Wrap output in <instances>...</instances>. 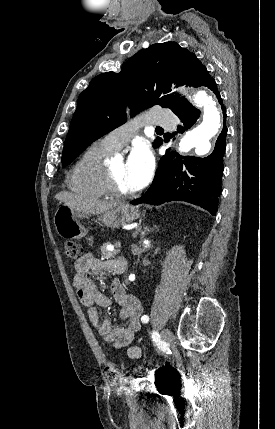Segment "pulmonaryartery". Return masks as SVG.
Wrapping results in <instances>:
<instances>
[{
  "mask_svg": "<svg viewBox=\"0 0 275 429\" xmlns=\"http://www.w3.org/2000/svg\"><path fill=\"white\" fill-rule=\"evenodd\" d=\"M148 118L151 122L162 127H173L176 123V117L164 112L150 113ZM139 120L130 125L117 129L107 134L100 142L107 148L116 151L123 147L136 132Z\"/></svg>",
  "mask_w": 275,
  "mask_h": 429,
  "instance_id": "obj_1",
  "label": "pulmonary artery"
}]
</instances>
